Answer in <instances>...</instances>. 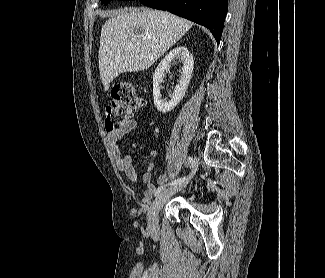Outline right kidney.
Returning <instances> with one entry per match:
<instances>
[{"label": "right kidney", "instance_id": "1", "mask_svg": "<svg viewBox=\"0 0 325 278\" xmlns=\"http://www.w3.org/2000/svg\"><path fill=\"white\" fill-rule=\"evenodd\" d=\"M176 57H180L183 62L180 81L179 84L175 87L171 99L169 101H166L161 99L160 83L163 81L165 70L170 66L171 61ZM193 65V56L184 46H177L176 48L172 49L161 60L153 74V97L155 107L158 111L162 113L170 112L182 100L190 82Z\"/></svg>", "mask_w": 325, "mask_h": 278}]
</instances>
